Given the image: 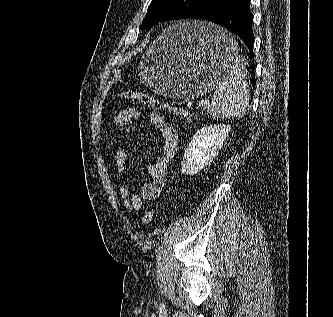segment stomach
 I'll return each mask as SVG.
<instances>
[{"label": "stomach", "mask_w": 333, "mask_h": 317, "mask_svg": "<svg viewBox=\"0 0 333 317\" xmlns=\"http://www.w3.org/2000/svg\"><path fill=\"white\" fill-rule=\"evenodd\" d=\"M202 21L167 27L150 45L138 64L142 82L170 98L208 95L225 81L227 69L246 62L229 29Z\"/></svg>", "instance_id": "stomach-1"}]
</instances>
